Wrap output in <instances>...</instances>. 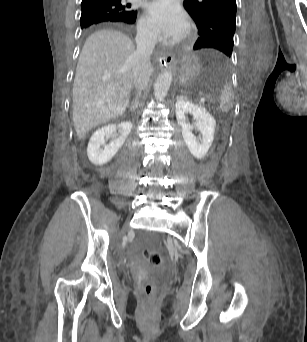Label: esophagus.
Instances as JSON below:
<instances>
[{"label":"esophagus","mask_w":307,"mask_h":342,"mask_svg":"<svg viewBox=\"0 0 307 342\" xmlns=\"http://www.w3.org/2000/svg\"><path fill=\"white\" fill-rule=\"evenodd\" d=\"M175 56L173 53H163L162 54V59L164 62L168 65L171 64V62L174 60Z\"/></svg>","instance_id":"obj_1"}]
</instances>
